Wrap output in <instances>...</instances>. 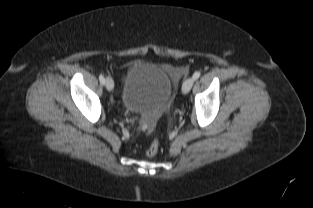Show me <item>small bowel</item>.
Instances as JSON below:
<instances>
[{"label":"small bowel","mask_w":313,"mask_h":208,"mask_svg":"<svg viewBox=\"0 0 313 208\" xmlns=\"http://www.w3.org/2000/svg\"><path fill=\"white\" fill-rule=\"evenodd\" d=\"M181 73H182V71H179V70H172L171 71L172 76L176 79L180 77Z\"/></svg>","instance_id":"1"}]
</instances>
